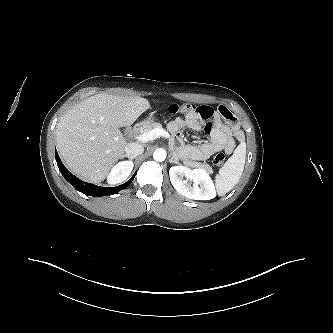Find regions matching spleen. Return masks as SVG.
<instances>
[{
	"instance_id": "obj_1",
	"label": "spleen",
	"mask_w": 333,
	"mask_h": 333,
	"mask_svg": "<svg viewBox=\"0 0 333 333\" xmlns=\"http://www.w3.org/2000/svg\"><path fill=\"white\" fill-rule=\"evenodd\" d=\"M246 159V145L241 143L233 155L220 168L216 176L217 191L220 196L229 192L242 176Z\"/></svg>"
}]
</instances>
